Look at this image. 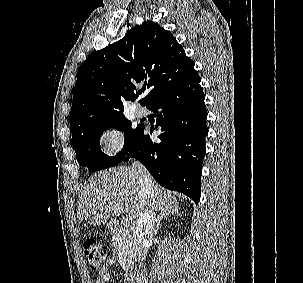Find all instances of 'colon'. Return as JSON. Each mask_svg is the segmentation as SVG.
Returning <instances> with one entry per match:
<instances>
[{
	"label": "colon",
	"instance_id": "colon-1",
	"mask_svg": "<svg viewBox=\"0 0 303 283\" xmlns=\"http://www.w3.org/2000/svg\"><path fill=\"white\" fill-rule=\"evenodd\" d=\"M83 252L89 268L98 272L105 266L106 260L110 257L111 248L106 243L91 240L83 244Z\"/></svg>",
	"mask_w": 303,
	"mask_h": 283
}]
</instances>
